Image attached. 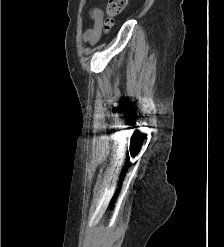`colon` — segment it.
Returning a JSON list of instances; mask_svg holds the SVG:
<instances>
[{"label":"colon","instance_id":"1","mask_svg":"<svg viewBox=\"0 0 224 247\" xmlns=\"http://www.w3.org/2000/svg\"><path fill=\"white\" fill-rule=\"evenodd\" d=\"M128 5V0H109L106 6V18L103 22V28L108 31L118 16Z\"/></svg>","mask_w":224,"mask_h":247}]
</instances>
